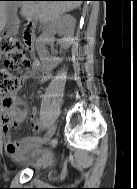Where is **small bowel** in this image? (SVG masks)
Segmentation results:
<instances>
[{"instance_id":"small-bowel-1","label":"small bowel","mask_w":137,"mask_h":189,"mask_svg":"<svg viewBox=\"0 0 137 189\" xmlns=\"http://www.w3.org/2000/svg\"><path fill=\"white\" fill-rule=\"evenodd\" d=\"M35 77L39 82H45L50 78V73L43 68L39 63H35L32 70L22 77V82L27 79ZM28 116L27 103L18 97V90L11 97V103L6 105L0 103V119H1V130L5 140V151L6 154L16 162H22L26 159V156L30 153L38 155L42 153V160L49 157V153L41 151L38 148H34L36 145L35 138L41 131V123L37 119L36 109H32L30 118L33 135L23 137L18 141H12L11 129L21 125ZM34 149V151H32Z\"/></svg>"}]
</instances>
